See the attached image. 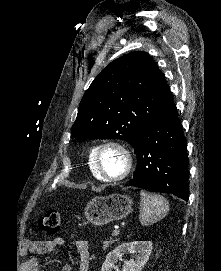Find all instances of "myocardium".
Returning a JSON list of instances; mask_svg holds the SVG:
<instances>
[{
  "mask_svg": "<svg viewBox=\"0 0 221 271\" xmlns=\"http://www.w3.org/2000/svg\"><path fill=\"white\" fill-rule=\"evenodd\" d=\"M100 140H106V142H102V145H95L94 153L96 156H93V159L95 160V169L98 170L97 175H104V178H126L132 171L131 166L134 165L132 158L128 156L131 150H123L122 142H115V140H123L120 138L106 137ZM111 150H116L114 153L118 159L115 160V163L124 167V170L117 175L106 176L102 158L104 155H111L113 153Z\"/></svg>",
  "mask_w": 221,
  "mask_h": 271,
  "instance_id": "obj_1",
  "label": "myocardium"
}]
</instances>
